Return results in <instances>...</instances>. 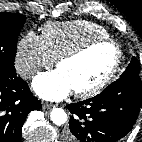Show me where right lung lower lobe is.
I'll use <instances>...</instances> for the list:
<instances>
[{
  "label": "right lung lower lobe",
  "instance_id": "right-lung-lower-lobe-1",
  "mask_svg": "<svg viewBox=\"0 0 142 142\" xmlns=\"http://www.w3.org/2000/svg\"><path fill=\"white\" fill-rule=\"evenodd\" d=\"M40 107L24 80L0 76V142H21L27 115Z\"/></svg>",
  "mask_w": 142,
  "mask_h": 142
}]
</instances>
